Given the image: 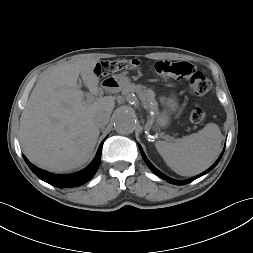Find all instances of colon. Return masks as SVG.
Wrapping results in <instances>:
<instances>
[{
  "instance_id": "colon-1",
  "label": "colon",
  "mask_w": 253,
  "mask_h": 253,
  "mask_svg": "<svg viewBox=\"0 0 253 253\" xmlns=\"http://www.w3.org/2000/svg\"><path fill=\"white\" fill-rule=\"evenodd\" d=\"M141 66L137 59H117L103 61L97 64L95 73L98 76H108L122 70H135ZM155 71L163 78L184 79L189 83L190 91L195 95L206 94L211 89V81L193 65L187 62L159 61ZM206 117V110L200 105H194L190 111V120L194 124L201 123Z\"/></svg>"
}]
</instances>
